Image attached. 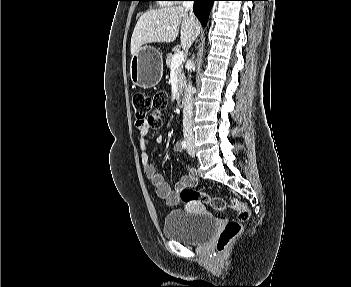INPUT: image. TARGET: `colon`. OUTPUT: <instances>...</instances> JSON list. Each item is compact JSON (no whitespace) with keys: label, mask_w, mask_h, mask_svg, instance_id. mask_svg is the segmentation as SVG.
<instances>
[{"label":"colon","mask_w":351,"mask_h":287,"mask_svg":"<svg viewBox=\"0 0 351 287\" xmlns=\"http://www.w3.org/2000/svg\"><path fill=\"white\" fill-rule=\"evenodd\" d=\"M167 102V94L162 91L153 95L136 92L132 97L136 119L149 120L148 126L151 128H159L162 125L163 112L167 107ZM180 198L188 203L200 201L218 211L233 209L238 212L237 219L228 221L217 239L216 248L219 252L224 251L240 235L243 223L250 217V211L247 206L236 199L226 200L220 197H210L191 188L182 189Z\"/></svg>","instance_id":"5ec220e1"}]
</instances>
